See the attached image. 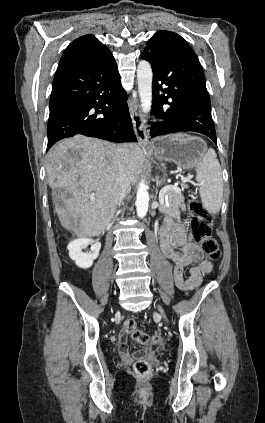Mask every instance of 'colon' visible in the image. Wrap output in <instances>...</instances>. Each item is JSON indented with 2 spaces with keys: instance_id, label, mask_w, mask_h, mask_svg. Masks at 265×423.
<instances>
[{
  "instance_id": "obj_1",
  "label": "colon",
  "mask_w": 265,
  "mask_h": 423,
  "mask_svg": "<svg viewBox=\"0 0 265 423\" xmlns=\"http://www.w3.org/2000/svg\"><path fill=\"white\" fill-rule=\"evenodd\" d=\"M191 219L189 223L190 231L194 241L199 244L202 251L212 260L221 257V250L218 242L211 235V225L213 216L200 202L190 200ZM125 331L138 343L146 346L161 345L163 338L160 334H148L137 327L134 319H128L124 325ZM134 372L140 377H147L151 374V366L146 360H137L134 363Z\"/></svg>"
}]
</instances>
